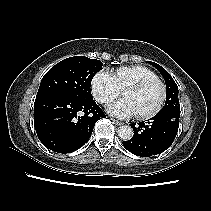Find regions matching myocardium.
Here are the masks:
<instances>
[{"instance_id": "obj_1", "label": "myocardium", "mask_w": 211, "mask_h": 211, "mask_svg": "<svg viewBox=\"0 0 211 211\" xmlns=\"http://www.w3.org/2000/svg\"><path fill=\"white\" fill-rule=\"evenodd\" d=\"M153 84H157L161 88L162 95H161L160 101L152 111L145 113V114H136V117L139 120L151 119V118L155 117L162 110V108L166 102V99H167V87L162 80H160L159 78H156V79H145V80L135 82L133 84H130L129 86H127L124 89V92L126 90H143Z\"/></svg>"}]
</instances>
